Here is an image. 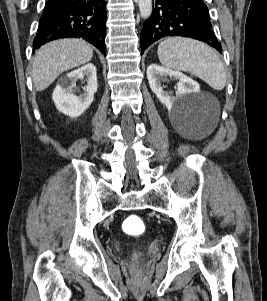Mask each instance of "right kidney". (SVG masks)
<instances>
[{
  "instance_id": "1",
  "label": "right kidney",
  "mask_w": 267,
  "mask_h": 301,
  "mask_svg": "<svg viewBox=\"0 0 267 301\" xmlns=\"http://www.w3.org/2000/svg\"><path fill=\"white\" fill-rule=\"evenodd\" d=\"M96 67L88 63L83 67L67 74V79L59 84L52 95V99L59 112L72 118L80 116L89 108L97 91ZM85 78L87 86L84 93L77 96L73 88L79 79Z\"/></svg>"
}]
</instances>
